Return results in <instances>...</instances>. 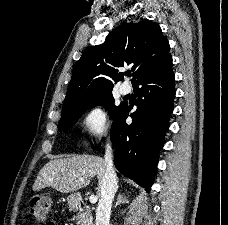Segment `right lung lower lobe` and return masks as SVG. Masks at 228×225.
Returning <instances> with one entry per match:
<instances>
[{"mask_svg":"<svg viewBox=\"0 0 228 225\" xmlns=\"http://www.w3.org/2000/svg\"><path fill=\"white\" fill-rule=\"evenodd\" d=\"M174 81L169 54L134 85L138 99L136 111L130 114L132 124L125 122L131 109L126 105L112 123L116 168L148 192L154 182L158 152L163 147L173 111Z\"/></svg>","mask_w":228,"mask_h":225,"instance_id":"right-lung-lower-lobe-1","label":"right lung lower lobe"}]
</instances>
